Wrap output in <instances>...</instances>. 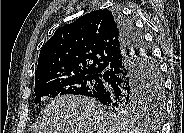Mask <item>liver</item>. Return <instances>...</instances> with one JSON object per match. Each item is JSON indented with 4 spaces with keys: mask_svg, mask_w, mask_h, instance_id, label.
<instances>
[{
    "mask_svg": "<svg viewBox=\"0 0 184 133\" xmlns=\"http://www.w3.org/2000/svg\"><path fill=\"white\" fill-rule=\"evenodd\" d=\"M134 123L117 117L95 99L63 95L43 109L36 133H142Z\"/></svg>",
    "mask_w": 184,
    "mask_h": 133,
    "instance_id": "obj_1",
    "label": "liver"
}]
</instances>
